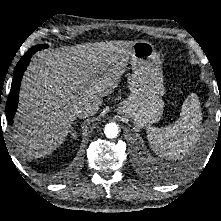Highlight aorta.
I'll return each instance as SVG.
<instances>
[{"instance_id":"obj_1","label":"aorta","mask_w":221,"mask_h":221,"mask_svg":"<svg viewBox=\"0 0 221 221\" xmlns=\"http://www.w3.org/2000/svg\"><path fill=\"white\" fill-rule=\"evenodd\" d=\"M104 133L107 138H116L119 134V128L116 123H108L104 128Z\"/></svg>"}]
</instances>
